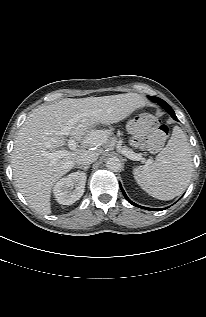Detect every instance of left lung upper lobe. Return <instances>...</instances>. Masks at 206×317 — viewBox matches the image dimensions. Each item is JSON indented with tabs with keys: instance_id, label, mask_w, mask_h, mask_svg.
<instances>
[{
	"instance_id": "obj_1",
	"label": "left lung upper lobe",
	"mask_w": 206,
	"mask_h": 317,
	"mask_svg": "<svg viewBox=\"0 0 206 317\" xmlns=\"http://www.w3.org/2000/svg\"><path fill=\"white\" fill-rule=\"evenodd\" d=\"M152 101L158 103L160 106H162L168 113H170V111H173L172 108L162 99L158 98V97H152L149 96Z\"/></svg>"
}]
</instances>
